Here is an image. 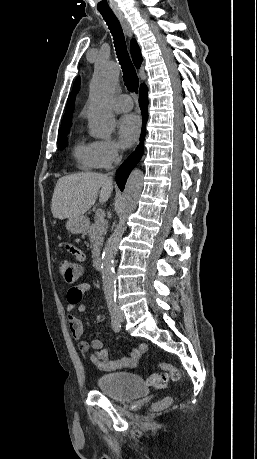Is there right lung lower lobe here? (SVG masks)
<instances>
[{"label":"right lung lower lobe","instance_id":"obj_1","mask_svg":"<svg viewBox=\"0 0 257 459\" xmlns=\"http://www.w3.org/2000/svg\"><path fill=\"white\" fill-rule=\"evenodd\" d=\"M139 105L143 117V127L142 133L140 137V144L137 146L136 150L123 162V164L118 168L116 171V182L118 187L121 191L124 190L126 180L132 171V169L136 166V164L140 161L143 151H144V136H145V124L148 119V98H147V88L145 84H142L140 87V97H139Z\"/></svg>","mask_w":257,"mask_h":459}]
</instances>
